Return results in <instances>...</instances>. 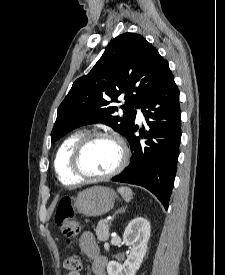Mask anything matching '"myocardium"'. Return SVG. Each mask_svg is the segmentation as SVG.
<instances>
[{
  "mask_svg": "<svg viewBox=\"0 0 225 275\" xmlns=\"http://www.w3.org/2000/svg\"><path fill=\"white\" fill-rule=\"evenodd\" d=\"M96 138H105L113 140L120 149V159L117 166L110 172L103 175H91L86 173L80 163L81 155L88 144ZM129 159V152L124 141L116 136L102 131H92L83 134L75 143L70 154V169L73 174L81 180L86 181H103L118 175L126 166Z\"/></svg>",
  "mask_w": 225,
  "mask_h": 275,
  "instance_id": "obj_1",
  "label": "myocardium"
}]
</instances>
